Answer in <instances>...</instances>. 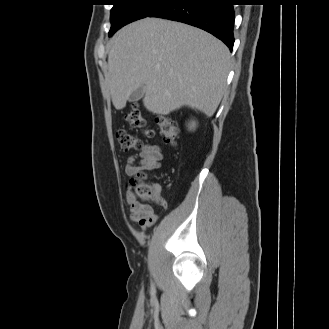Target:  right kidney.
I'll return each mask as SVG.
<instances>
[{"instance_id":"ca27d5eb","label":"right kidney","mask_w":329,"mask_h":329,"mask_svg":"<svg viewBox=\"0 0 329 329\" xmlns=\"http://www.w3.org/2000/svg\"><path fill=\"white\" fill-rule=\"evenodd\" d=\"M196 127V123L195 122H191L189 125L190 129H194Z\"/></svg>"}]
</instances>
